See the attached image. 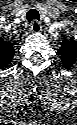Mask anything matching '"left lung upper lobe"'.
<instances>
[{
    "mask_svg": "<svg viewBox=\"0 0 77 125\" xmlns=\"http://www.w3.org/2000/svg\"><path fill=\"white\" fill-rule=\"evenodd\" d=\"M63 66L70 68L77 58V43L74 40H63L62 46L58 50Z\"/></svg>",
    "mask_w": 77,
    "mask_h": 125,
    "instance_id": "5c2ea615",
    "label": "left lung upper lobe"
}]
</instances>
